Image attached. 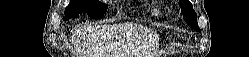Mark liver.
Returning a JSON list of instances; mask_svg holds the SVG:
<instances>
[{
	"label": "liver",
	"instance_id": "obj_1",
	"mask_svg": "<svg viewBox=\"0 0 249 57\" xmlns=\"http://www.w3.org/2000/svg\"><path fill=\"white\" fill-rule=\"evenodd\" d=\"M139 36L156 39V34L148 28L119 24L85 25L75 32L73 41L79 46L80 57H129Z\"/></svg>",
	"mask_w": 249,
	"mask_h": 57
}]
</instances>
